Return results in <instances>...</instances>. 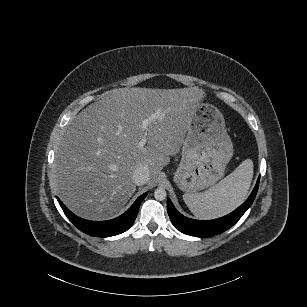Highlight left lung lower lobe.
Segmentation results:
<instances>
[{"mask_svg": "<svg viewBox=\"0 0 307 307\" xmlns=\"http://www.w3.org/2000/svg\"><path fill=\"white\" fill-rule=\"evenodd\" d=\"M259 181L260 177L251 195L241 206L232 213L215 220L201 221L187 218L175 209L170 199H167V209L171 222L179 231L197 237H208L224 232L233 226L251 206L258 191Z\"/></svg>", "mask_w": 307, "mask_h": 307, "instance_id": "obj_1", "label": "left lung lower lobe"}]
</instances>
